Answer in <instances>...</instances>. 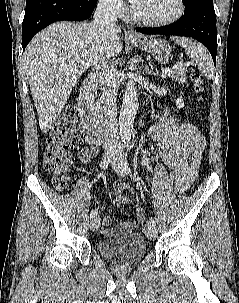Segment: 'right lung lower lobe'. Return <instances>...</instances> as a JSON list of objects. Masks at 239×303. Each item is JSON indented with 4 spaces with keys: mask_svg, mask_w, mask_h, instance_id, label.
<instances>
[{
    "mask_svg": "<svg viewBox=\"0 0 239 303\" xmlns=\"http://www.w3.org/2000/svg\"><path fill=\"white\" fill-rule=\"evenodd\" d=\"M96 3L97 0H27L22 23L23 49L37 32L53 22L88 19Z\"/></svg>",
    "mask_w": 239,
    "mask_h": 303,
    "instance_id": "98d812e1",
    "label": "right lung lower lobe"
}]
</instances>
